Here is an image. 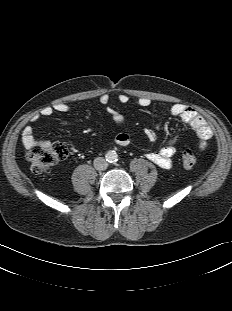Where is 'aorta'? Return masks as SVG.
Wrapping results in <instances>:
<instances>
[{"instance_id": "762f6f07", "label": "aorta", "mask_w": 232, "mask_h": 311, "mask_svg": "<svg viewBox=\"0 0 232 311\" xmlns=\"http://www.w3.org/2000/svg\"><path fill=\"white\" fill-rule=\"evenodd\" d=\"M106 160L108 161V162H110V163H114V162H116L117 160H118V155H117V153L115 152V151H112V150H110V151H108L107 153H106Z\"/></svg>"}]
</instances>
